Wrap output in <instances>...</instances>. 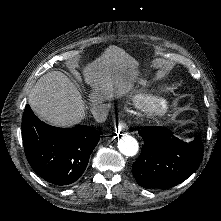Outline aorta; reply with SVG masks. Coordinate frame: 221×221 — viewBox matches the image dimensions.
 <instances>
[{
    "label": "aorta",
    "mask_w": 221,
    "mask_h": 221,
    "mask_svg": "<svg viewBox=\"0 0 221 221\" xmlns=\"http://www.w3.org/2000/svg\"><path fill=\"white\" fill-rule=\"evenodd\" d=\"M118 149L125 156H134L139 150L137 140L130 135H123L118 140Z\"/></svg>",
    "instance_id": "obj_1"
}]
</instances>
